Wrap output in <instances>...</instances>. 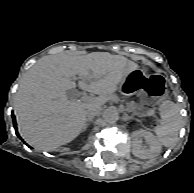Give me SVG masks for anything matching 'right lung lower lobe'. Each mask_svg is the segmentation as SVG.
<instances>
[{"label": "right lung lower lobe", "instance_id": "obj_1", "mask_svg": "<svg viewBox=\"0 0 194 193\" xmlns=\"http://www.w3.org/2000/svg\"><path fill=\"white\" fill-rule=\"evenodd\" d=\"M12 117H13V125H14V128H15V130H16V134H17L18 137H20L19 134H18V131H17V127H16V119H15V116H14L13 112H12ZM20 139H21V138H20Z\"/></svg>", "mask_w": 194, "mask_h": 193}]
</instances>
